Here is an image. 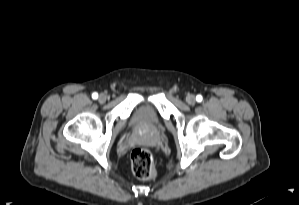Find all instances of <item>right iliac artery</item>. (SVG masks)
<instances>
[{
  "label": "right iliac artery",
  "instance_id": "obj_1",
  "mask_svg": "<svg viewBox=\"0 0 299 205\" xmlns=\"http://www.w3.org/2000/svg\"><path fill=\"white\" fill-rule=\"evenodd\" d=\"M92 98H93V99H97V98H98V94H97L96 92H94V93L92 94Z\"/></svg>",
  "mask_w": 299,
  "mask_h": 205
}]
</instances>
